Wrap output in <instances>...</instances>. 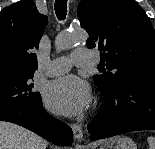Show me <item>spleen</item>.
I'll return each mask as SVG.
<instances>
[{"instance_id": "obj_1", "label": "spleen", "mask_w": 155, "mask_h": 149, "mask_svg": "<svg viewBox=\"0 0 155 149\" xmlns=\"http://www.w3.org/2000/svg\"><path fill=\"white\" fill-rule=\"evenodd\" d=\"M147 141L149 143V149H155V137L150 136L147 138Z\"/></svg>"}]
</instances>
